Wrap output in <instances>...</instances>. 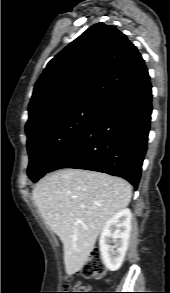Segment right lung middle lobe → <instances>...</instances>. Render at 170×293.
<instances>
[{
	"mask_svg": "<svg viewBox=\"0 0 170 293\" xmlns=\"http://www.w3.org/2000/svg\"><path fill=\"white\" fill-rule=\"evenodd\" d=\"M99 108L97 104L76 105L25 130L28 176L33 182L48 173L54 161L86 131Z\"/></svg>",
	"mask_w": 170,
	"mask_h": 293,
	"instance_id": "obj_1",
	"label": "right lung middle lobe"
}]
</instances>
